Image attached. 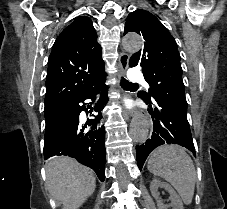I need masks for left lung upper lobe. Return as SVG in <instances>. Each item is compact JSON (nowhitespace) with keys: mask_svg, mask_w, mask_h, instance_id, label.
Returning a JSON list of instances; mask_svg holds the SVG:
<instances>
[{"mask_svg":"<svg viewBox=\"0 0 227 209\" xmlns=\"http://www.w3.org/2000/svg\"><path fill=\"white\" fill-rule=\"evenodd\" d=\"M128 32H136L144 39L143 48L129 61L130 67H142L150 86L149 94L145 92L139 97L145 103L167 101L187 111L180 54L170 32L145 10H136L128 15L124 35Z\"/></svg>","mask_w":227,"mask_h":209,"instance_id":"obj_1","label":"left lung upper lobe"}]
</instances>
